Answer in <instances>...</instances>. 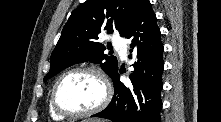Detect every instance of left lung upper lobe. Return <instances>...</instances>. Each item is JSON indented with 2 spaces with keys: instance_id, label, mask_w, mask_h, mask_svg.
<instances>
[{
  "instance_id": "obj_1",
  "label": "left lung upper lobe",
  "mask_w": 221,
  "mask_h": 122,
  "mask_svg": "<svg viewBox=\"0 0 221 122\" xmlns=\"http://www.w3.org/2000/svg\"><path fill=\"white\" fill-rule=\"evenodd\" d=\"M139 0H87L75 9L65 24L51 54V66L44 80L66 67L91 61L111 77L118 71L116 57L104 54L106 47L98 42L101 31H119L125 36Z\"/></svg>"
}]
</instances>
